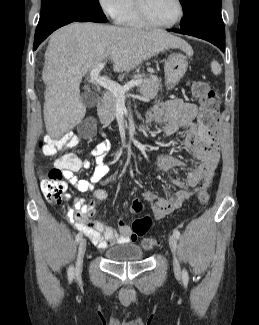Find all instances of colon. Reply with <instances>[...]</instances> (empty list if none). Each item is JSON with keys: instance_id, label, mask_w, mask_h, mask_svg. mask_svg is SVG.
<instances>
[{"instance_id": "obj_1", "label": "colon", "mask_w": 259, "mask_h": 325, "mask_svg": "<svg viewBox=\"0 0 259 325\" xmlns=\"http://www.w3.org/2000/svg\"><path fill=\"white\" fill-rule=\"evenodd\" d=\"M189 91L192 97L198 100L206 109L207 114L202 118L201 122L206 129H219L220 123L217 121V99L213 89L204 81L191 80L188 83ZM79 144L78 138L71 133H67L59 139H49L39 143L40 148L49 155L55 154L62 148H74ZM211 179L205 180L198 194V201L201 206H205L209 199V187ZM40 188L43 196L49 202H60L67 185L63 170L55 166L46 175L41 178ZM143 209L140 201L135 200L132 203L131 210L139 213ZM151 225V219L148 216L137 218L132 224L133 232L138 236H144ZM142 245L145 249H153L158 246V240L152 237L144 238Z\"/></svg>"}]
</instances>
